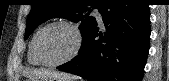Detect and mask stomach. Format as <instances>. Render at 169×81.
I'll return each instance as SVG.
<instances>
[{
    "label": "stomach",
    "instance_id": "1",
    "mask_svg": "<svg viewBox=\"0 0 169 81\" xmlns=\"http://www.w3.org/2000/svg\"><path fill=\"white\" fill-rule=\"evenodd\" d=\"M35 81H73V80L72 79H70V80H65V79H48V80H35Z\"/></svg>",
    "mask_w": 169,
    "mask_h": 81
}]
</instances>
